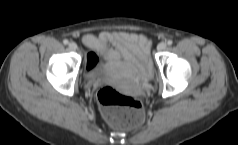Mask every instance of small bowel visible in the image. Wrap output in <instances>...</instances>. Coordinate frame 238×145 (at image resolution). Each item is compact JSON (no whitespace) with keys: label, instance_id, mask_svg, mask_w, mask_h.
Listing matches in <instances>:
<instances>
[{"label":"small bowel","instance_id":"small-bowel-1","mask_svg":"<svg viewBox=\"0 0 238 145\" xmlns=\"http://www.w3.org/2000/svg\"><path fill=\"white\" fill-rule=\"evenodd\" d=\"M82 41L108 61L116 62L124 59L135 66L143 77L151 75L150 42L142 34L106 31L98 35L86 34Z\"/></svg>","mask_w":238,"mask_h":145}]
</instances>
